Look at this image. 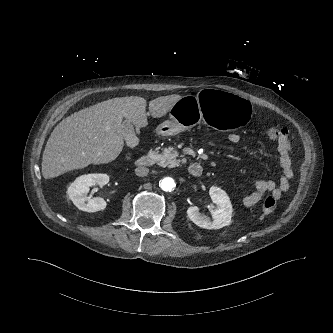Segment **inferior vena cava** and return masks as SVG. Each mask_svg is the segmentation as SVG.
<instances>
[{"label":"inferior vena cava","mask_w":333,"mask_h":333,"mask_svg":"<svg viewBox=\"0 0 333 333\" xmlns=\"http://www.w3.org/2000/svg\"><path fill=\"white\" fill-rule=\"evenodd\" d=\"M149 169L144 166H139L135 169V173L139 177L147 176Z\"/></svg>","instance_id":"602c4592"}]
</instances>
